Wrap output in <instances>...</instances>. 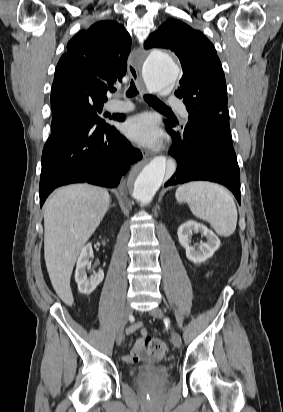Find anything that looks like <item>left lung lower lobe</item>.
Here are the masks:
<instances>
[{
	"label": "left lung lower lobe",
	"mask_w": 283,
	"mask_h": 412,
	"mask_svg": "<svg viewBox=\"0 0 283 412\" xmlns=\"http://www.w3.org/2000/svg\"><path fill=\"white\" fill-rule=\"evenodd\" d=\"M167 125L173 139L169 154L176 159L177 170L165 186L194 180L217 182L230 189L240 204V170L233 147L214 141L198 127H179L172 121Z\"/></svg>",
	"instance_id": "left-lung-lower-lobe-1"
}]
</instances>
